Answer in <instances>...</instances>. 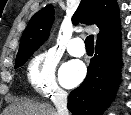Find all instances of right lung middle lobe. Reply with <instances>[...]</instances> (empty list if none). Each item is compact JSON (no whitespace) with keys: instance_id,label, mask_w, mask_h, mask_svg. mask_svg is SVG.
Returning <instances> with one entry per match:
<instances>
[{"instance_id":"obj_1","label":"right lung middle lobe","mask_w":131,"mask_h":115,"mask_svg":"<svg viewBox=\"0 0 131 115\" xmlns=\"http://www.w3.org/2000/svg\"><path fill=\"white\" fill-rule=\"evenodd\" d=\"M35 50L36 49L29 50V51L23 53L22 55L17 56L16 62H15V68L22 66L28 60V58L32 56V54L34 53Z\"/></svg>"}]
</instances>
